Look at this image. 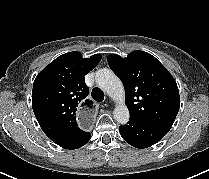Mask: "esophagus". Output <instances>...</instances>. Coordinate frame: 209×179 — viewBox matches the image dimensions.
Listing matches in <instances>:
<instances>
[{
	"label": "esophagus",
	"mask_w": 209,
	"mask_h": 179,
	"mask_svg": "<svg viewBox=\"0 0 209 179\" xmlns=\"http://www.w3.org/2000/svg\"><path fill=\"white\" fill-rule=\"evenodd\" d=\"M96 116V102L93 98H84L75 112L76 123L83 129H90L94 125Z\"/></svg>",
	"instance_id": "34e87169"
}]
</instances>
